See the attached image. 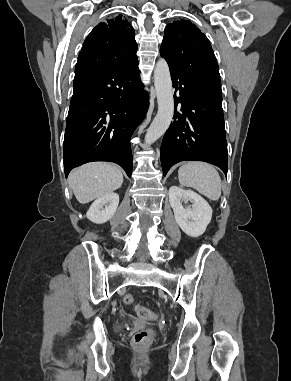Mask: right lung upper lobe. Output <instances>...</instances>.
<instances>
[{"label": "right lung upper lobe", "mask_w": 291, "mask_h": 381, "mask_svg": "<svg viewBox=\"0 0 291 381\" xmlns=\"http://www.w3.org/2000/svg\"><path fill=\"white\" fill-rule=\"evenodd\" d=\"M136 52L135 31L119 14L94 27L83 44L76 67H115L137 57Z\"/></svg>", "instance_id": "1"}]
</instances>
